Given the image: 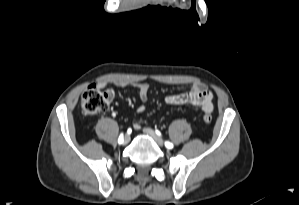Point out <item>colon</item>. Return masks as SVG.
Here are the masks:
<instances>
[{
  "mask_svg": "<svg viewBox=\"0 0 299 205\" xmlns=\"http://www.w3.org/2000/svg\"><path fill=\"white\" fill-rule=\"evenodd\" d=\"M114 98V90L112 88H98L96 85L89 86L81 97V110L87 117L96 116L109 108ZM205 123L210 124L212 116L205 114L203 116Z\"/></svg>",
  "mask_w": 299,
  "mask_h": 205,
  "instance_id": "colon-1",
  "label": "colon"
}]
</instances>
